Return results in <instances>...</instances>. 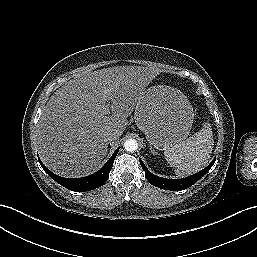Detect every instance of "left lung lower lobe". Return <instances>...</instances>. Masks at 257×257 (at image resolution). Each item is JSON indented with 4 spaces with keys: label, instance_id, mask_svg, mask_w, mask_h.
<instances>
[{
    "label": "left lung lower lobe",
    "instance_id": "obj_1",
    "mask_svg": "<svg viewBox=\"0 0 257 257\" xmlns=\"http://www.w3.org/2000/svg\"><path fill=\"white\" fill-rule=\"evenodd\" d=\"M140 160V164L143 168V170L145 171V176L147 178V180L150 182V184L162 188V189H166V190H184L189 188L190 186H192L195 182H197L200 178H202L213 166L216 158L203 170H201L200 172L191 175L189 177L186 178H181V179H167V178H162L159 176H156L154 174H152L144 165V163L142 162L141 159Z\"/></svg>",
    "mask_w": 257,
    "mask_h": 257
}]
</instances>
